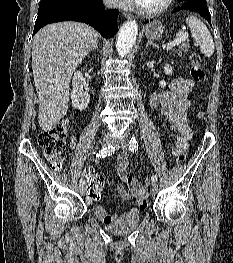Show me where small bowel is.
<instances>
[{
    "label": "small bowel",
    "mask_w": 233,
    "mask_h": 263,
    "mask_svg": "<svg viewBox=\"0 0 233 263\" xmlns=\"http://www.w3.org/2000/svg\"><path fill=\"white\" fill-rule=\"evenodd\" d=\"M194 82L185 77L173 79L165 90L154 92L150 98V106L164 116L173 128L171 137L173 142L172 154L177 156L186 152L193 132L188 124L187 111L190 107L188 96L192 91ZM77 143V137L71 136L70 148L73 149ZM115 167L119 178L123 183L116 187L117 193L122 200L135 199V205L131 212L138 213L146 207L147 189L141 186L132 175L129 167V157L126 153H120L116 158ZM91 171V170H88ZM99 175V174H96ZM86 177V175H85ZM88 202L92 204L88 199ZM95 216L103 223H109L118 218L116 214H109L99 205L92 207Z\"/></svg>",
    "instance_id": "c3829d8e"
}]
</instances>
